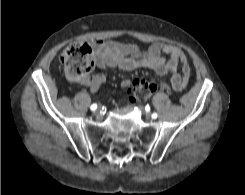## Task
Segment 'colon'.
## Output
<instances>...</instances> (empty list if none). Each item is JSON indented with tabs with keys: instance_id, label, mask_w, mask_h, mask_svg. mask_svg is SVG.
Returning <instances> with one entry per match:
<instances>
[{
	"instance_id": "colon-1",
	"label": "colon",
	"mask_w": 245,
	"mask_h": 195,
	"mask_svg": "<svg viewBox=\"0 0 245 195\" xmlns=\"http://www.w3.org/2000/svg\"><path fill=\"white\" fill-rule=\"evenodd\" d=\"M87 45L71 44L60 54L59 61L66 77L76 83H84L93 70L94 63ZM154 82L145 79L135 81L132 98L136 103L146 101L156 90Z\"/></svg>"
}]
</instances>
